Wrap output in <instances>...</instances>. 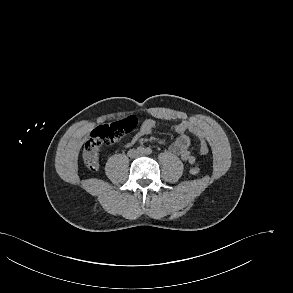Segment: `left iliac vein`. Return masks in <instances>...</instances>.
<instances>
[{"label": "left iliac vein", "instance_id": "4c4485c4", "mask_svg": "<svg viewBox=\"0 0 293 293\" xmlns=\"http://www.w3.org/2000/svg\"><path fill=\"white\" fill-rule=\"evenodd\" d=\"M144 154V152H139L138 156H142Z\"/></svg>", "mask_w": 293, "mask_h": 293}]
</instances>
